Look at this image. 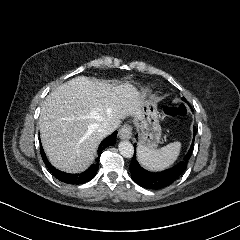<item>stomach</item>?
I'll use <instances>...</instances> for the list:
<instances>
[{
	"label": "stomach",
	"instance_id": "stomach-1",
	"mask_svg": "<svg viewBox=\"0 0 240 240\" xmlns=\"http://www.w3.org/2000/svg\"><path fill=\"white\" fill-rule=\"evenodd\" d=\"M138 99L141 102L142 113L135 122L138 147L155 149L161 140V128L158 121V98L142 85H137Z\"/></svg>",
	"mask_w": 240,
	"mask_h": 240
}]
</instances>
